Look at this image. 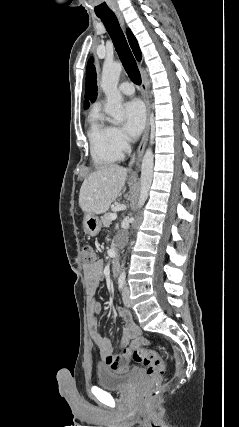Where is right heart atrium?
Listing matches in <instances>:
<instances>
[{"label":"right heart atrium","instance_id":"obj_1","mask_svg":"<svg viewBox=\"0 0 239 427\" xmlns=\"http://www.w3.org/2000/svg\"><path fill=\"white\" fill-rule=\"evenodd\" d=\"M111 137H112V142H113L114 146L117 148V150L121 154H123L129 150L130 141L121 128L116 127V126H112L111 127Z\"/></svg>","mask_w":239,"mask_h":427}]
</instances>
